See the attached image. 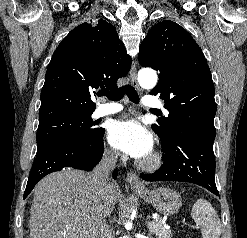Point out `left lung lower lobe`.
<instances>
[{
  "label": "left lung lower lobe",
  "mask_w": 247,
  "mask_h": 238,
  "mask_svg": "<svg viewBox=\"0 0 247 238\" xmlns=\"http://www.w3.org/2000/svg\"><path fill=\"white\" fill-rule=\"evenodd\" d=\"M164 164L153 174H141L145 181H181L194 183L215 195V159L213 144L191 134L181 133L162 144Z\"/></svg>",
  "instance_id": "obj_1"
}]
</instances>
